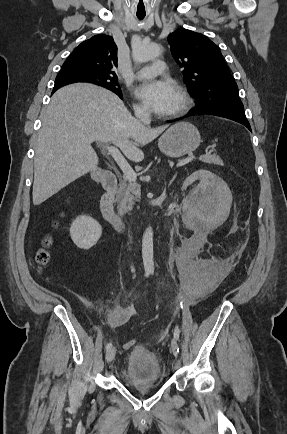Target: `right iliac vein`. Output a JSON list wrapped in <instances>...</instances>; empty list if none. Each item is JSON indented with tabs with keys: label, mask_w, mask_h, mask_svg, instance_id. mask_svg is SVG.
Returning a JSON list of instances; mask_svg holds the SVG:
<instances>
[{
	"label": "right iliac vein",
	"mask_w": 287,
	"mask_h": 434,
	"mask_svg": "<svg viewBox=\"0 0 287 434\" xmlns=\"http://www.w3.org/2000/svg\"><path fill=\"white\" fill-rule=\"evenodd\" d=\"M115 354H116V350L115 348H111L107 351L105 359L107 363H110L113 361V359L115 358Z\"/></svg>",
	"instance_id": "1"
}]
</instances>
